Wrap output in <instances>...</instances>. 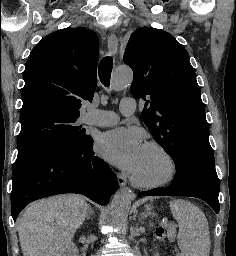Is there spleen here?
I'll return each mask as SVG.
<instances>
[{"label":"spleen","instance_id":"spleen-1","mask_svg":"<svg viewBox=\"0 0 236 256\" xmlns=\"http://www.w3.org/2000/svg\"><path fill=\"white\" fill-rule=\"evenodd\" d=\"M170 210L179 226V256H209L211 242L204 212L186 200H173Z\"/></svg>","mask_w":236,"mask_h":256}]
</instances>
